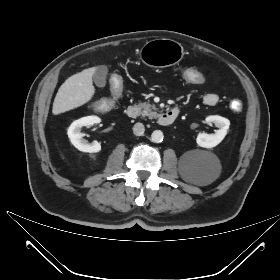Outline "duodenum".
Here are the masks:
<instances>
[{
	"instance_id": "410a0bca",
	"label": "duodenum",
	"mask_w": 280,
	"mask_h": 280,
	"mask_svg": "<svg viewBox=\"0 0 280 280\" xmlns=\"http://www.w3.org/2000/svg\"><path fill=\"white\" fill-rule=\"evenodd\" d=\"M126 114L129 118L135 119L139 115V109L135 105H129L126 109ZM178 114H179V109L177 108H172L167 110L161 115L159 119V124L161 126H168L172 124L176 119V117L178 116Z\"/></svg>"
}]
</instances>
